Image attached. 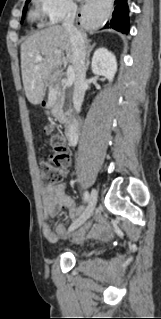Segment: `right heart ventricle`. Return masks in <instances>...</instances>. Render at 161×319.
I'll use <instances>...</instances> for the list:
<instances>
[{
  "mask_svg": "<svg viewBox=\"0 0 161 319\" xmlns=\"http://www.w3.org/2000/svg\"><path fill=\"white\" fill-rule=\"evenodd\" d=\"M43 15L42 10H34L31 12V17L34 19L42 20Z\"/></svg>",
  "mask_w": 161,
  "mask_h": 319,
  "instance_id": "e07e8e85",
  "label": "right heart ventricle"
}]
</instances>
